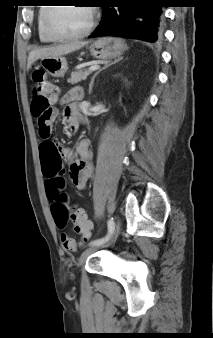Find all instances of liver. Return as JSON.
<instances>
[{"label": "liver", "instance_id": "1", "mask_svg": "<svg viewBox=\"0 0 213 338\" xmlns=\"http://www.w3.org/2000/svg\"><path fill=\"white\" fill-rule=\"evenodd\" d=\"M86 44H87L86 41H74L71 43L63 44V45L34 49L29 53L27 69L29 70L32 64L38 59L56 58V57H60L63 55H67V54H70L74 51L81 49Z\"/></svg>", "mask_w": 213, "mask_h": 338}]
</instances>
